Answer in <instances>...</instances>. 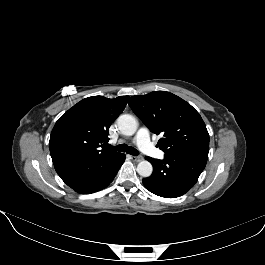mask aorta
<instances>
[{"label":"aorta","mask_w":265,"mask_h":265,"mask_svg":"<svg viewBox=\"0 0 265 265\" xmlns=\"http://www.w3.org/2000/svg\"><path fill=\"white\" fill-rule=\"evenodd\" d=\"M117 125L121 134L126 136L133 135L137 130V120L129 114L119 116ZM137 172L142 177H149L153 172L152 164L146 160L140 161L137 165Z\"/></svg>","instance_id":"aorta-1"}]
</instances>
